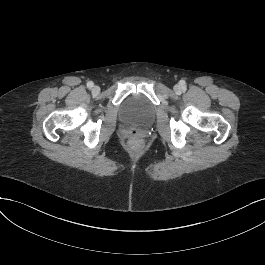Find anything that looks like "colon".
Segmentation results:
<instances>
[{"label": "colon", "instance_id": "1", "mask_svg": "<svg viewBox=\"0 0 265 265\" xmlns=\"http://www.w3.org/2000/svg\"><path fill=\"white\" fill-rule=\"evenodd\" d=\"M126 137L131 141L133 145H137L140 142L141 134L137 130H131L126 133Z\"/></svg>", "mask_w": 265, "mask_h": 265}]
</instances>
